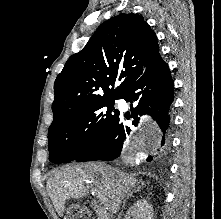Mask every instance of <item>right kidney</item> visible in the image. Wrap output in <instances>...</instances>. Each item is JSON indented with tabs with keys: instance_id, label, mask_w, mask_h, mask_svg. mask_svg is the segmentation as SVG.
<instances>
[{
	"instance_id": "ca27d5eb",
	"label": "right kidney",
	"mask_w": 221,
	"mask_h": 219,
	"mask_svg": "<svg viewBox=\"0 0 221 219\" xmlns=\"http://www.w3.org/2000/svg\"><path fill=\"white\" fill-rule=\"evenodd\" d=\"M125 219H153V206L145 199L138 200L128 210Z\"/></svg>"
}]
</instances>
